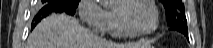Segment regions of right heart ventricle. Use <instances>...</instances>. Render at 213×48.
<instances>
[{
  "instance_id": "right-heart-ventricle-1",
  "label": "right heart ventricle",
  "mask_w": 213,
  "mask_h": 48,
  "mask_svg": "<svg viewBox=\"0 0 213 48\" xmlns=\"http://www.w3.org/2000/svg\"><path fill=\"white\" fill-rule=\"evenodd\" d=\"M110 13V22L108 25V33L115 38H128L129 35H127L123 29L121 28L116 13L114 10H112Z\"/></svg>"
}]
</instances>
